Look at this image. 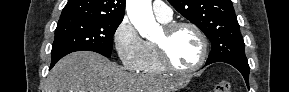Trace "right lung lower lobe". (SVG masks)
Here are the masks:
<instances>
[{
	"label": "right lung lower lobe",
	"mask_w": 289,
	"mask_h": 92,
	"mask_svg": "<svg viewBox=\"0 0 289 92\" xmlns=\"http://www.w3.org/2000/svg\"><path fill=\"white\" fill-rule=\"evenodd\" d=\"M56 62H51L50 69L55 65Z\"/></svg>",
	"instance_id": "98d812e1"
}]
</instances>
